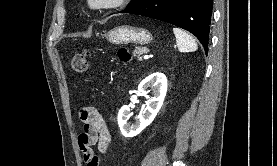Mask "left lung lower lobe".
<instances>
[{
    "mask_svg": "<svg viewBox=\"0 0 277 166\" xmlns=\"http://www.w3.org/2000/svg\"><path fill=\"white\" fill-rule=\"evenodd\" d=\"M212 0H145L123 12L164 21L194 34L208 51Z\"/></svg>",
    "mask_w": 277,
    "mask_h": 166,
    "instance_id": "0a47b994",
    "label": "left lung lower lobe"
}]
</instances>
